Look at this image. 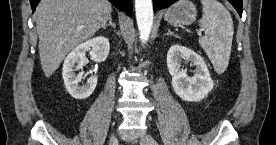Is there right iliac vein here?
Returning a JSON list of instances; mask_svg holds the SVG:
<instances>
[{"instance_id":"right-iliac-vein-1","label":"right iliac vein","mask_w":276,"mask_h":145,"mask_svg":"<svg viewBox=\"0 0 276 145\" xmlns=\"http://www.w3.org/2000/svg\"><path fill=\"white\" fill-rule=\"evenodd\" d=\"M117 138H116V135L113 133L111 134L110 136V139H109V145H117Z\"/></svg>"}]
</instances>
